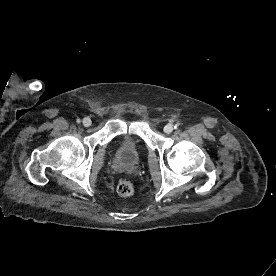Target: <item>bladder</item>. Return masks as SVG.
<instances>
[{"mask_svg":"<svg viewBox=\"0 0 276 276\" xmlns=\"http://www.w3.org/2000/svg\"><path fill=\"white\" fill-rule=\"evenodd\" d=\"M142 149V141L135 135L126 134L117 140V156L126 165L135 164Z\"/></svg>","mask_w":276,"mask_h":276,"instance_id":"1","label":"bladder"}]
</instances>
